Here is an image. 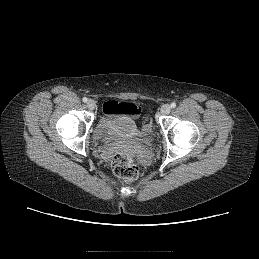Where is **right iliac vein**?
Wrapping results in <instances>:
<instances>
[{
	"label": "right iliac vein",
	"instance_id": "right-iliac-vein-1",
	"mask_svg": "<svg viewBox=\"0 0 259 259\" xmlns=\"http://www.w3.org/2000/svg\"><path fill=\"white\" fill-rule=\"evenodd\" d=\"M87 107L89 110H94L96 107V103L94 100L90 99L87 101Z\"/></svg>",
	"mask_w": 259,
	"mask_h": 259
}]
</instances>
